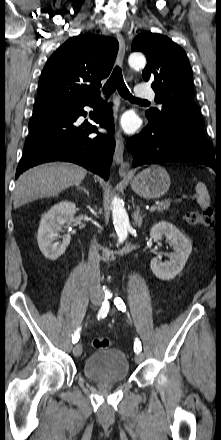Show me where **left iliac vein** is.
Wrapping results in <instances>:
<instances>
[{"label":"left iliac vein","mask_w":221,"mask_h":440,"mask_svg":"<svg viewBox=\"0 0 221 440\" xmlns=\"http://www.w3.org/2000/svg\"><path fill=\"white\" fill-rule=\"evenodd\" d=\"M143 360V356L140 353H137L135 356V362L140 363Z\"/></svg>","instance_id":"1"}]
</instances>
